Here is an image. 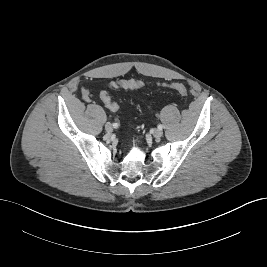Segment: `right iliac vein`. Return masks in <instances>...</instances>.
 Masks as SVG:
<instances>
[{
	"instance_id": "1",
	"label": "right iliac vein",
	"mask_w": 267,
	"mask_h": 267,
	"mask_svg": "<svg viewBox=\"0 0 267 267\" xmlns=\"http://www.w3.org/2000/svg\"><path fill=\"white\" fill-rule=\"evenodd\" d=\"M105 130L107 131V132H112L113 131V126H112V124L111 123H109V122H107L106 124H105Z\"/></svg>"
}]
</instances>
